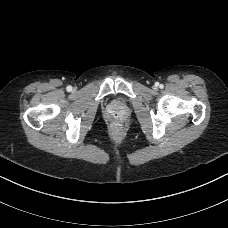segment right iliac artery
<instances>
[{"label": "right iliac artery", "instance_id": "82829eb1", "mask_svg": "<svg viewBox=\"0 0 228 228\" xmlns=\"http://www.w3.org/2000/svg\"><path fill=\"white\" fill-rule=\"evenodd\" d=\"M66 90H67L68 92H70V91H72V87H71V86H67Z\"/></svg>", "mask_w": 228, "mask_h": 228}]
</instances>
